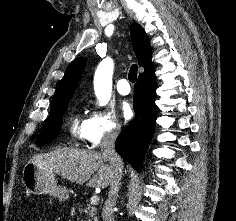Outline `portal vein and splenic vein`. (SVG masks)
I'll return each mask as SVG.
<instances>
[{"instance_id":"obj_1","label":"portal vein and splenic vein","mask_w":236,"mask_h":221,"mask_svg":"<svg viewBox=\"0 0 236 221\" xmlns=\"http://www.w3.org/2000/svg\"><path fill=\"white\" fill-rule=\"evenodd\" d=\"M98 202H99V197L98 196H92L91 198H90V203L92 204V205H97L98 204Z\"/></svg>"}]
</instances>
